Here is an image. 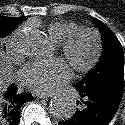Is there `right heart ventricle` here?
<instances>
[{"label": "right heart ventricle", "mask_w": 125, "mask_h": 125, "mask_svg": "<svg viewBox=\"0 0 125 125\" xmlns=\"http://www.w3.org/2000/svg\"><path fill=\"white\" fill-rule=\"evenodd\" d=\"M77 28L74 22L54 21L47 26V32L53 41L62 43Z\"/></svg>", "instance_id": "right-heart-ventricle-1"}]
</instances>
